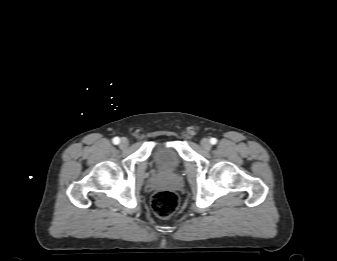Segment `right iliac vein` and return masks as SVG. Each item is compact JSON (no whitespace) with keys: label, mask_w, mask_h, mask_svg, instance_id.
Listing matches in <instances>:
<instances>
[{"label":"right iliac vein","mask_w":337,"mask_h":261,"mask_svg":"<svg viewBox=\"0 0 337 261\" xmlns=\"http://www.w3.org/2000/svg\"><path fill=\"white\" fill-rule=\"evenodd\" d=\"M129 145V141L127 138H122L120 141V148L124 149Z\"/></svg>","instance_id":"1"}]
</instances>
